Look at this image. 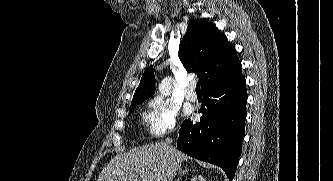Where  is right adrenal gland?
<instances>
[{"instance_id":"1","label":"right adrenal gland","mask_w":333,"mask_h":181,"mask_svg":"<svg viewBox=\"0 0 333 181\" xmlns=\"http://www.w3.org/2000/svg\"><path fill=\"white\" fill-rule=\"evenodd\" d=\"M188 171H189V170H188L187 168H185V170H181V169H179V175H180V176L177 178L176 181H181L182 176L185 175Z\"/></svg>"}]
</instances>
